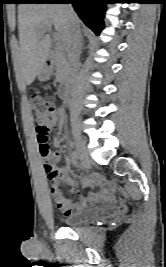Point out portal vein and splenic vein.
I'll use <instances>...</instances> for the list:
<instances>
[{
	"mask_svg": "<svg viewBox=\"0 0 166 267\" xmlns=\"http://www.w3.org/2000/svg\"><path fill=\"white\" fill-rule=\"evenodd\" d=\"M50 30V27L49 28H46L43 32H46V31H49ZM56 40H57V44L60 46L61 45V37L59 34H56Z\"/></svg>",
	"mask_w": 166,
	"mask_h": 267,
	"instance_id": "1",
	"label": "portal vein and splenic vein"
}]
</instances>
